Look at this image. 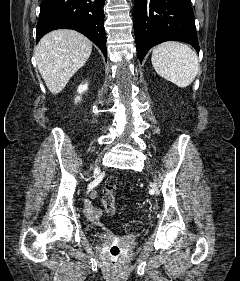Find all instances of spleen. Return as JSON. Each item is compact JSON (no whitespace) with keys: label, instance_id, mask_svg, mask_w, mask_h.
Here are the masks:
<instances>
[{"label":"spleen","instance_id":"1","mask_svg":"<svg viewBox=\"0 0 240 281\" xmlns=\"http://www.w3.org/2000/svg\"><path fill=\"white\" fill-rule=\"evenodd\" d=\"M151 61L158 75L180 88L189 86L199 70L196 52L179 42L157 45L152 51Z\"/></svg>","mask_w":240,"mask_h":281}]
</instances>
